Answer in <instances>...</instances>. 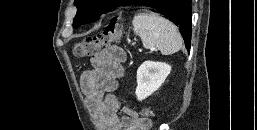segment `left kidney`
<instances>
[{"label":"left kidney","mask_w":257,"mask_h":130,"mask_svg":"<svg viewBox=\"0 0 257 130\" xmlns=\"http://www.w3.org/2000/svg\"><path fill=\"white\" fill-rule=\"evenodd\" d=\"M171 72V66L163 62L145 61L137 70V88L139 101L144 100L158 90Z\"/></svg>","instance_id":"1"}]
</instances>
